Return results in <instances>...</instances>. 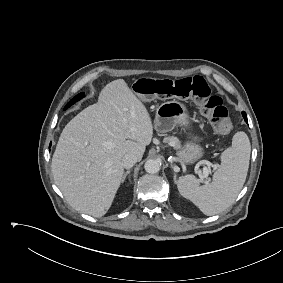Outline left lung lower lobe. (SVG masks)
I'll list each match as a JSON object with an SVG mask.
<instances>
[{
  "instance_id": "0a47b994",
  "label": "left lung lower lobe",
  "mask_w": 283,
  "mask_h": 283,
  "mask_svg": "<svg viewBox=\"0 0 283 283\" xmlns=\"http://www.w3.org/2000/svg\"><path fill=\"white\" fill-rule=\"evenodd\" d=\"M242 115H243V117H244L245 122L248 124V120H247L246 113H245V112H242Z\"/></svg>"
}]
</instances>
